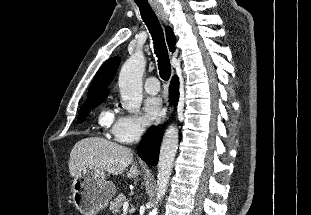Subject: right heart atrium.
<instances>
[{"instance_id":"right-heart-atrium-1","label":"right heart atrium","mask_w":311,"mask_h":215,"mask_svg":"<svg viewBox=\"0 0 311 215\" xmlns=\"http://www.w3.org/2000/svg\"><path fill=\"white\" fill-rule=\"evenodd\" d=\"M103 124L109 127L112 138L122 144L137 141L145 131L141 119L132 114H119L116 117L111 115Z\"/></svg>"}]
</instances>
